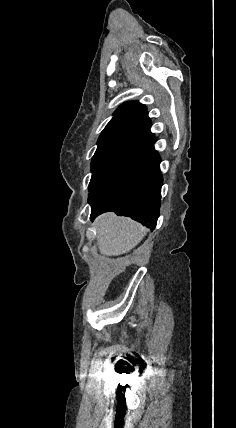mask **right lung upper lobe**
I'll return each mask as SVG.
<instances>
[{"label":"right lung upper lobe","instance_id":"obj_1","mask_svg":"<svg viewBox=\"0 0 236 428\" xmlns=\"http://www.w3.org/2000/svg\"><path fill=\"white\" fill-rule=\"evenodd\" d=\"M146 107L138 101L122 104L102 131L95 153L128 144L146 143L153 134Z\"/></svg>","mask_w":236,"mask_h":428}]
</instances>
